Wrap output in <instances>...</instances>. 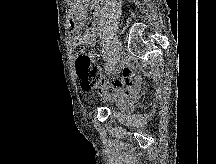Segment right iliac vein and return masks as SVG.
Returning <instances> with one entry per match:
<instances>
[{"label": "right iliac vein", "mask_w": 216, "mask_h": 164, "mask_svg": "<svg viewBox=\"0 0 216 164\" xmlns=\"http://www.w3.org/2000/svg\"><path fill=\"white\" fill-rule=\"evenodd\" d=\"M120 58H121V46L117 45L115 47L114 61L112 62V64H113L112 69H115L116 67H118Z\"/></svg>", "instance_id": "obj_1"}]
</instances>
